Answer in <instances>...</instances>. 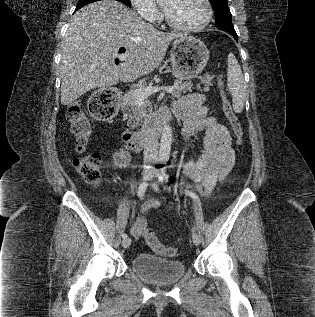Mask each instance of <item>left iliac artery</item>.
<instances>
[{"instance_id": "44dca946", "label": "left iliac artery", "mask_w": 315, "mask_h": 317, "mask_svg": "<svg viewBox=\"0 0 315 317\" xmlns=\"http://www.w3.org/2000/svg\"><path fill=\"white\" fill-rule=\"evenodd\" d=\"M166 179H167L166 168L163 167L160 171L159 176H158V180H159V182L163 183ZM154 188L157 190V185H154ZM186 194H188L191 198L196 199V196L194 193L186 191Z\"/></svg>"}]
</instances>
